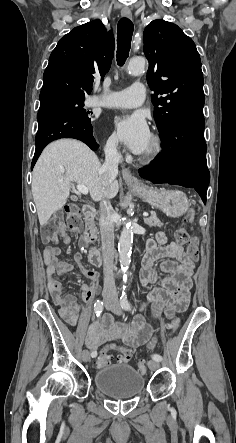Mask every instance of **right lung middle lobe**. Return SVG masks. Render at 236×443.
I'll use <instances>...</instances> for the list:
<instances>
[{
  "instance_id": "right-lung-middle-lobe-1",
  "label": "right lung middle lobe",
  "mask_w": 236,
  "mask_h": 443,
  "mask_svg": "<svg viewBox=\"0 0 236 443\" xmlns=\"http://www.w3.org/2000/svg\"><path fill=\"white\" fill-rule=\"evenodd\" d=\"M85 96L81 95H73V94H56L53 95L46 100H56L63 104H65L68 108H70L74 113L80 116L83 119L89 120V111L83 109Z\"/></svg>"
}]
</instances>
